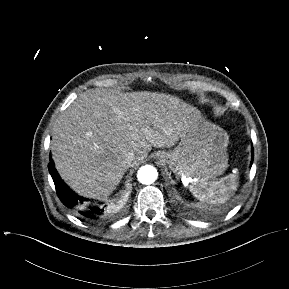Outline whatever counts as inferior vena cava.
<instances>
[{
  "instance_id": "1",
  "label": "inferior vena cava",
  "mask_w": 289,
  "mask_h": 289,
  "mask_svg": "<svg viewBox=\"0 0 289 289\" xmlns=\"http://www.w3.org/2000/svg\"><path fill=\"white\" fill-rule=\"evenodd\" d=\"M136 156L134 153H128L125 156L124 163L127 167H132L137 164Z\"/></svg>"
}]
</instances>
